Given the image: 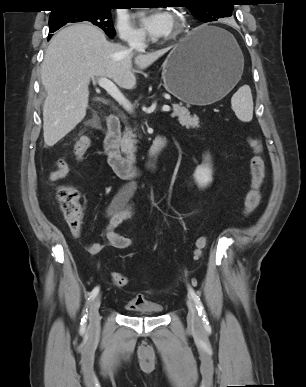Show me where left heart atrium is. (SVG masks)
Returning a JSON list of instances; mask_svg holds the SVG:
<instances>
[{
    "label": "left heart atrium",
    "instance_id": "1",
    "mask_svg": "<svg viewBox=\"0 0 306 387\" xmlns=\"http://www.w3.org/2000/svg\"><path fill=\"white\" fill-rule=\"evenodd\" d=\"M143 29L154 38L168 36L173 31V17L165 11L155 10L141 19Z\"/></svg>",
    "mask_w": 306,
    "mask_h": 387
}]
</instances>
